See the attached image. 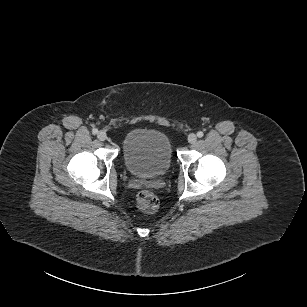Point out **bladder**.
Segmentation results:
<instances>
[{
	"label": "bladder",
	"instance_id": "31cf9c89",
	"mask_svg": "<svg viewBox=\"0 0 307 307\" xmlns=\"http://www.w3.org/2000/svg\"><path fill=\"white\" fill-rule=\"evenodd\" d=\"M126 169L140 178H155L167 172L172 162V144L161 131L135 129L122 144Z\"/></svg>",
	"mask_w": 307,
	"mask_h": 307
}]
</instances>
